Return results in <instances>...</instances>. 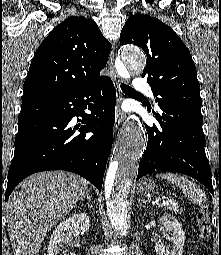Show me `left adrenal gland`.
<instances>
[{
    "label": "left adrenal gland",
    "mask_w": 221,
    "mask_h": 255,
    "mask_svg": "<svg viewBox=\"0 0 221 255\" xmlns=\"http://www.w3.org/2000/svg\"><path fill=\"white\" fill-rule=\"evenodd\" d=\"M143 203H145V201L142 202L141 198L139 197L138 203H137V208L141 207Z\"/></svg>",
    "instance_id": "obj_1"
}]
</instances>
